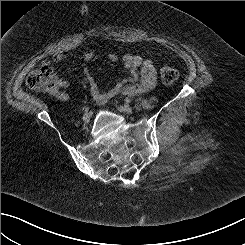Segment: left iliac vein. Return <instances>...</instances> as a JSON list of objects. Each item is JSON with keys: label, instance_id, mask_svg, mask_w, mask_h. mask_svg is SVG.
<instances>
[{"label": "left iliac vein", "instance_id": "4c4485c4", "mask_svg": "<svg viewBox=\"0 0 245 245\" xmlns=\"http://www.w3.org/2000/svg\"><path fill=\"white\" fill-rule=\"evenodd\" d=\"M117 109L119 112L126 114H130L133 111L132 107H130L129 105H119Z\"/></svg>", "mask_w": 245, "mask_h": 245}]
</instances>
